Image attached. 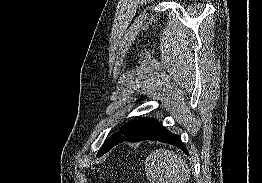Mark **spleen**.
<instances>
[{
  "label": "spleen",
  "mask_w": 262,
  "mask_h": 183,
  "mask_svg": "<svg viewBox=\"0 0 262 183\" xmlns=\"http://www.w3.org/2000/svg\"><path fill=\"white\" fill-rule=\"evenodd\" d=\"M145 172L151 183H185L190 177L186 162L167 149H158L149 154Z\"/></svg>",
  "instance_id": "3e777b00"
}]
</instances>
